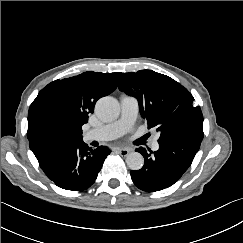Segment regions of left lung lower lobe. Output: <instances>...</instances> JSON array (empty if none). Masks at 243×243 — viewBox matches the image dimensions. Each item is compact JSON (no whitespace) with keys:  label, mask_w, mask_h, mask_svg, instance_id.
<instances>
[{"label":"left lung lower lobe","mask_w":243,"mask_h":243,"mask_svg":"<svg viewBox=\"0 0 243 243\" xmlns=\"http://www.w3.org/2000/svg\"><path fill=\"white\" fill-rule=\"evenodd\" d=\"M203 132L188 131L159 142V150L137 148L144 157V166L130 172L134 184L143 191L155 192L170 187L190 167L200 148Z\"/></svg>","instance_id":"left-lung-lower-lobe-1"}]
</instances>
